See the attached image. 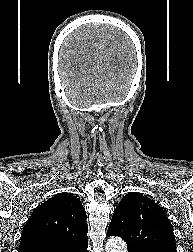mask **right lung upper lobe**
Segmentation results:
<instances>
[{
	"mask_svg": "<svg viewBox=\"0 0 193 252\" xmlns=\"http://www.w3.org/2000/svg\"><path fill=\"white\" fill-rule=\"evenodd\" d=\"M81 201L59 193L42 203L26 222L19 252H77L88 245Z\"/></svg>",
	"mask_w": 193,
	"mask_h": 252,
	"instance_id": "obj_1",
	"label": "right lung upper lobe"
}]
</instances>
